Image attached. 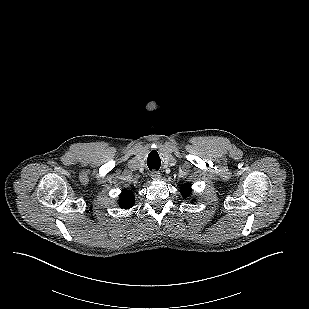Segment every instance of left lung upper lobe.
I'll return each mask as SVG.
<instances>
[{
    "mask_svg": "<svg viewBox=\"0 0 309 309\" xmlns=\"http://www.w3.org/2000/svg\"><path fill=\"white\" fill-rule=\"evenodd\" d=\"M180 191L184 198H188L192 192L191 184L190 183L183 184Z\"/></svg>",
    "mask_w": 309,
    "mask_h": 309,
    "instance_id": "obj_1",
    "label": "left lung upper lobe"
}]
</instances>
